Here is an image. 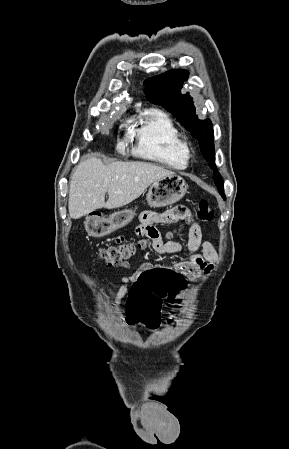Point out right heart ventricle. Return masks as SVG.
Listing matches in <instances>:
<instances>
[{
	"label": "right heart ventricle",
	"mask_w": 289,
	"mask_h": 449,
	"mask_svg": "<svg viewBox=\"0 0 289 449\" xmlns=\"http://www.w3.org/2000/svg\"><path fill=\"white\" fill-rule=\"evenodd\" d=\"M133 136L134 152L143 158L175 169H184L189 161V150L173 123L162 110L151 108L143 112Z\"/></svg>",
	"instance_id": "e07e8e85"
}]
</instances>
